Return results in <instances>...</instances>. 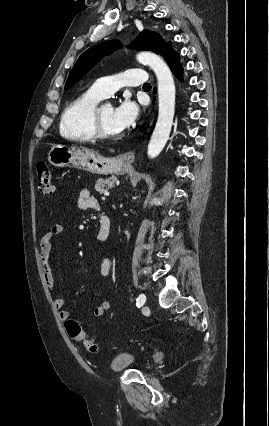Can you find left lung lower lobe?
<instances>
[{"instance_id": "obj_1", "label": "left lung lower lobe", "mask_w": 269, "mask_h": 426, "mask_svg": "<svg viewBox=\"0 0 269 426\" xmlns=\"http://www.w3.org/2000/svg\"><path fill=\"white\" fill-rule=\"evenodd\" d=\"M168 63L172 72L181 79L183 68L179 62V54L175 52L171 43L160 54Z\"/></svg>"}]
</instances>
